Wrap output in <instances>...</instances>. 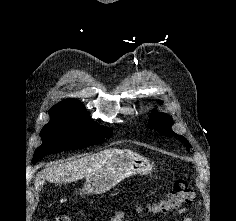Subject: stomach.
Wrapping results in <instances>:
<instances>
[{
	"mask_svg": "<svg viewBox=\"0 0 236 221\" xmlns=\"http://www.w3.org/2000/svg\"><path fill=\"white\" fill-rule=\"evenodd\" d=\"M152 168L153 164L146 158L130 151L119 150L86 177L81 193L102 194L129 176L149 174Z\"/></svg>",
	"mask_w": 236,
	"mask_h": 221,
	"instance_id": "stomach-1",
	"label": "stomach"
}]
</instances>
